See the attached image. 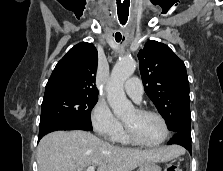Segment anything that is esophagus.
I'll list each match as a JSON object with an SVG mask.
<instances>
[{"label":"esophagus","mask_w":223,"mask_h":171,"mask_svg":"<svg viewBox=\"0 0 223 171\" xmlns=\"http://www.w3.org/2000/svg\"><path fill=\"white\" fill-rule=\"evenodd\" d=\"M125 13H117V18H119V21L122 23L121 28L125 29L126 25L124 24L125 22L128 21V11L126 9V11H124Z\"/></svg>","instance_id":"esophagus-1"}]
</instances>
